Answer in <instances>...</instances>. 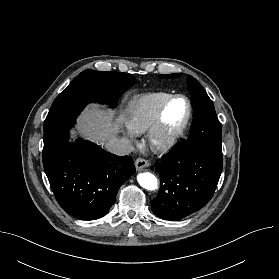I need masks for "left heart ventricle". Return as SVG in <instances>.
Wrapping results in <instances>:
<instances>
[{
    "label": "left heart ventricle",
    "instance_id": "1",
    "mask_svg": "<svg viewBox=\"0 0 279 279\" xmlns=\"http://www.w3.org/2000/svg\"><path fill=\"white\" fill-rule=\"evenodd\" d=\"M187 114V105L183 99L172 101L164 114V130L172 132L176 130L184 121Z\"/></svg>",
    "mask_w": 279,
    "mask_h": 279
}]
</instances>
